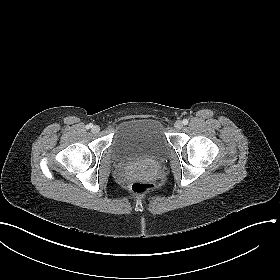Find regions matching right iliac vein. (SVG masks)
I'll use <instances>...</instances> for the list:
<instances>
[{
  "instance_id": "obj_1",
  "label": "right iliac vein",
  "mask_w": 280,
  "mask_h": 280,
  "mask_svg": "<svg viewBox=\"0 0 280 280\" xmlns=\"http://www.w3.org/2000/svg\"><path fill=\"white\" fill-rule=\"evenodd\" d=\"M91 130H92L93 133H98L100 131V127L98 125H95V126L92 127Z\"/></svg>"
}]
</instances>
